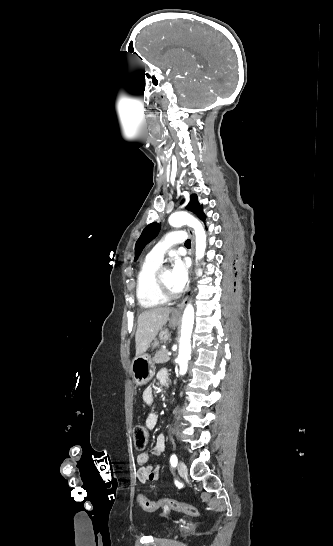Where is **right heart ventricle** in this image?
Masks as SVG:
<instances>
[{"label":"right heart ventricle","mask_w":333,"mask_h":546,"mask_svg":"<svg viewBox=\"0 0 333 546\" xmlns=\"http://www.w3.org/2000/svg\"><path fill=\"white\" fill-rule=\"evenodd\" d=\"M161 266L160 262L146 258L143 262L136 283V296L143 308H154L167 302L155 289L154 278Z\"/></svg>","instance_id":"1"}]
</instances>
